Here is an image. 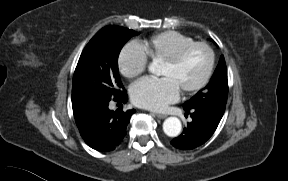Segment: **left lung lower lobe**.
<instances>
[{"label": "left lung lower lobe", "instance_id": "left-lung-lower-lobe-1", "mask_svg": "<svg viewBox=\"0 0 288 181\" xmlns=\"http://www.w3.org/2000/svg\"><path fill=\"white\" fill-rule=\"evenodd\" d=\"M192 121L187 123L182 134L170 143L181 150H191L205 143L216 130L222 116L204 108L184 109Z\"/></svg>", "mask_w": 288, "mask_h": 181}]
</instances>
